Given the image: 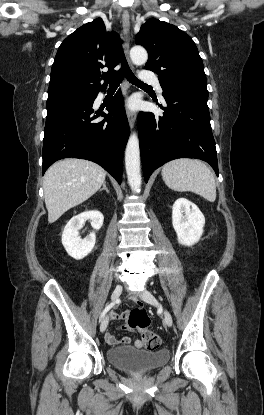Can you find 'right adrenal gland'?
I'll use <instances>...</instances> for the list:
<instances>
[{
	"mask_svg": "<svg viewBox=\"0 0 264 415\" xmlns=\"http://www.w3.org/2000/svg\"><path fill=\"white\" fill-rule=\"evenodd\" d=\"M105 190L107 193H109V190L106 187V182L103 184V188L100 189V191Z\"/></svg>",
	"mask_w": 264,
	"mask_h": 415,
	"instance_id": "obj_1",
	"label": "right adrenal gland"
}]
</instances>
